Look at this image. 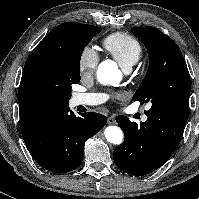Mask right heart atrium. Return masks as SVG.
Segmentation results:
<instances>
[{
	"label": "right heart atrium",
	"mask_w": 199,
	"mask_h": 199,
	"mask_svg": "<svg viewBox=\"0 0 199 199\" xmlns=\"http://www.w3.org/2000/svg\"><path fill=\"white\" fill-rule=\"evenodd\" d=\"M98 61L99 56L97 52L93 48L86 46L82 50L79 58L80 73L82 75L92 73L96 69Z\"/></svg>",
	"instance_id": "obj_1"
}]
</instances>
